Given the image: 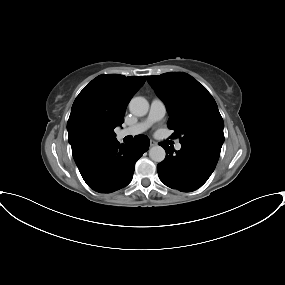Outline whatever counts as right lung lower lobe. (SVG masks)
I'll use <instances>...</instances> for the list:
<instances>
[{
  "label": "right lung lower lobe",
  "mask_w": 285,
  "mask_h": 285,
  "mask_svg": "<svg viewBox=\"0 0 285 285\" xmlns=\"http://www.w3.org/2000/svg\"><path fill=\"white\" fill-rule=\"evenodd\" d=\"M148 148L149 139L138 135L129 144H119L115 138L86 147L73 157L90 188L99 193H111L132 180L135 163Z\"/></svg>",
  "instance_id": "right-lung-lower-lobe-1"
}]
</instances>
